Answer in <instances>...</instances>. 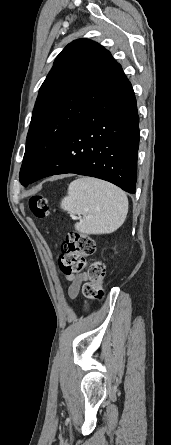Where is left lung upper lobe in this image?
Wrapping results in <instances>:
<instances>
[{
  "label": "left lung upper lobe",
  "mask_w": 171,
  "mask_h": 445,
  "mask_svg": "<svg viewBox=\"0 0 171 445\" xmlns=\"http://www.w3.org/2000/svg\"><path fill=\"white\" fill-rule=\"evenodd\" d=\"M128 79L109 51L88 39L68 44L40 87L27 134L20 182L32 178L73 125Z\"/></svg>",
  "instance_id": "obj_1"
}]
</instances>
